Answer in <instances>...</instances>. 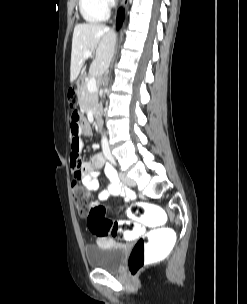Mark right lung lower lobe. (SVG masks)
Returning <instances> with one entry per match:
<instances>
[{
  "mask_svg": "<svg viewBox=\"0 0 247 304\" xmlns=\"http://www.w3.org/2000/svg\"><path fill=\"white\" fill-rule=\"evenodd\" d=\"M123 19H124V13L121 10H119L117 17V29L122 25Z\"/></svg>",
  "mask_w": 247,
  "mask_h": 304,
  "instance_id": "obj_1",
  "label": "right lung lower lobe"
}]
</instances>
